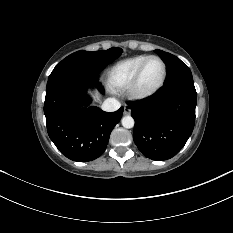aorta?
I'll use <instances>...</instances> for the list:
<instances>
[{"mask_svg":"<svg viewBox=\"0 0 233 233\" xmlns=\"http://www.w3.org/2000/svg\"><path fill=\"white\" fill-rule=\"evenodd\" d=\"M122 126L124 128L130 129L134 127V119L131 116H124L121 120Z\"/></svg>","mask_w":233,"mask_h":233,"instance_id":"762f6f07","label":"aorta"}]
</instances>
